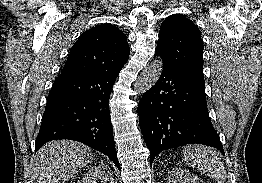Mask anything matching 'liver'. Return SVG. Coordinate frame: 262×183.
I'll list each match as a JSON object with an SVG mask.
<instances>
[{
  "instance_id": "1",
  "label": "liver",
  "mask_w": 262,
  "mask_h": 183,
  "mask_svg": "<svg viewBox=\"0 0 262 183\" xmlns=\"http://www.w3.org/2000/svg\"><path fill=\"white\" fill-rule=\"evenodd\" d=\"M92 159L90 147L76 141L45 144L31 160L32 183H64Z\"/></svg>"
}]
</instances>
